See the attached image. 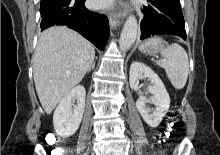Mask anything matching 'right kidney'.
Returning a JSON list of instances; mask_svg holds the SVG:
<instances>
[{"label":"right kidney","instance_id":"ca27d5eb","mask_svg":"<svg viewBox=\"0 0 220 155\" xmlns=\"http://www.w3.org/2000/svg\"><path fill=\"white\" fill-rule=\"evenodd\" d=\"M85 97V88L79 85L61 100L53 115V125L57 135L67 138L78 130L85 109ZM75 99L77 106L72 109V100Z\"/></svg>","mask_w":220,"mask_h":155}]
</instances>
